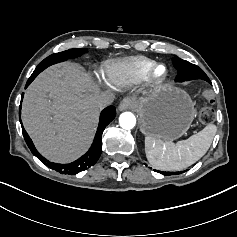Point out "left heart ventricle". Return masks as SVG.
Instances as JSON below:
<instances>
[{
	"label": "left heart ventricle",
	"mask_w": 237,
	"mask_h": 237,
	"mask_svg": "<svg viewBox=\"0 0 237 237\" xmlns=\"http://www.w3.org/2000/svg\"><path fill=\"white\" fill-rule=\"evenodd\" d=\"M163 73V68H159L158 70H157V74H162Z\"/></svg>",
	"instance_id": "b2bd125f"
}]
</instances>
